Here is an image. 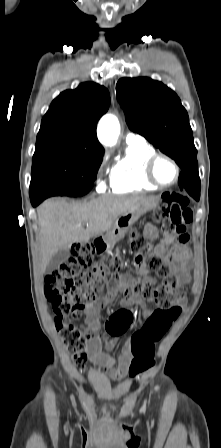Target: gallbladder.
I'll return each mask as SVG.
<instances>
[{
	"label": "gallbladder",
	"instance_id": "obj_1",
	"mask_svg": "<svg viewBox=\"0 0 221 448\" xmlns=\"http://www.w3.org/2000/svg\"><path fill=\"white\" fill-rule=\"evenodd\" d=\"M70 256L69 247L61 248L49 261L47 265V272H52L59 268V266L66 261Z\"/></svg>",
	"mask_w": 221,
	"mask_h": 448
}]
</instances>
